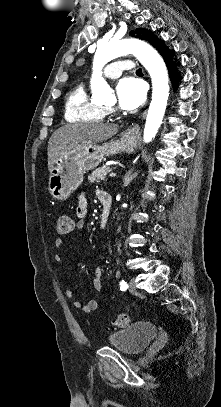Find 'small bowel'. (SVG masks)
<instances>
[{
  "mask_svg": "<svg viewBox=\"0 0 221 407\" xmlns=\"http://www.w3.org/2000/svg\"><path fill=\"white\" fill-rule=\"evenodd\" d=\"M105 193H106V191H104V190H98L97 191V197H98V199L100 201H101L102 197L105 195ZM87 213H88V202H87L85 194L83 193V194H81L79 196V199H78V206H77V209H76L77 221H76L75 226H74L75 230L80 231L85 227ZM62 242L63 241H62L61 238H57L55 240V246L57 248H60V246L62 245ZM55 259L57 261H60L61 260L60 255H57L55 257ZM103 275H104V272H103L102 268L96 267L93 270L92 284H93V287H94V289L96 291H101L102 290V287H103V283H102ZM65 295L68 298H73L74 297V291L72 289H67V290H65ZM73 305L77 310H79V311H81L83 313H90V312H92V311H94V310H96L98 308L99 301L97 299H91L88 302L83 304L80 301L75 300L73 302Z\"/></svg>",
  "mask_w": 221,
  "mask_h": 407,
  "instance_id": "c3829d8e",
  "label": "small bowel"
}]
</instances>
